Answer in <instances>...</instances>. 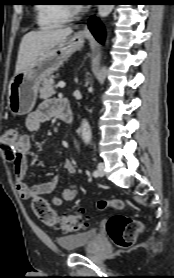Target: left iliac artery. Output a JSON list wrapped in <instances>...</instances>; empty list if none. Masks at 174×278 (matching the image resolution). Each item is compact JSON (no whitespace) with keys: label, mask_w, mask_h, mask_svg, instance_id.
<instances>
[{"label":"left iliac artery","mask_w":174,"mask_h":278,"mask_svg":"<svg viewBox=\"0 0 174 278\" xmlns=\"http://www.w3.org/2000/svg\"><path fill=\"white\" fill-rule=\"evenodd\" d=\"M93 176L97 177V176H98V171L95 170V171L93 172Z\"/></svg>","instance_id":"1"}]
</instances>
